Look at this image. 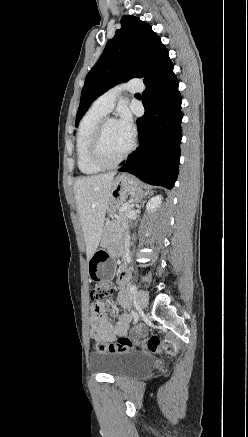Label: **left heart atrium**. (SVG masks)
<instances>
[{
	"mask_svg": "<svg viewBox=\"0 0 248 437\" xmlns=\"http://www.w3.org/2000/svg\"><path fill=\"white\" fill-rule=\"evenodd\" d=\"M116 122L124 136L131 140L134 135V126L129 112L127 110H123L120 118Z\"/></svg>",
	"mask_w": 248,
	"mask_h": 437,
	"instance_id": "left-heart-atrium-1",
	"label": "left heart atrium"
}]
</instances>
